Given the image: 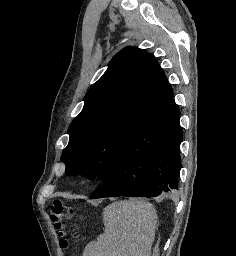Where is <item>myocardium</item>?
I'll use <instances>...</instances> for the list:
<instances>
[{
    "label": "myocardium",
    "instance_id": "1",
    "mask_svg": "<svg viewBox=\"0 0 236 256\" xmlns=\"http://www.w3.org/2000/svg\"><path fill=\"white\" fill-rule=\"evenodd\" d=\"M84 179L86 181H93L100 175V169L98 167H89L84 171Z\"/></svg>",
    "mask_w": 236,
    "mask_h": 256
}]
</instances>
